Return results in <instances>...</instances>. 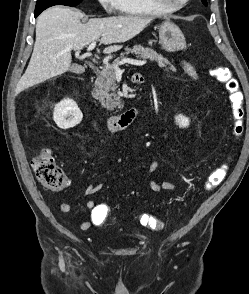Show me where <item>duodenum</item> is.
<instances>
[{
  "instance_id": "obj_1",
  "label": "duodenum",
  "mask_w": 249,
  "mask_h": 294,
  "mask_svg": "<svg viewBox=\"0 0 249 294\" xmlns=\"http://www.w3.org/2000/svg\"><path fill=\"white\" fill-rule=\"evenodd\" d=\"M133 82L136 84H143L144 77L136 73L133 75ZM142 107H132L121 115H112L107 118V127L110 131H122L130 126L141 114Z\"/></svg>"
}]
</instances>
